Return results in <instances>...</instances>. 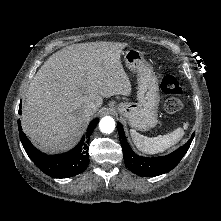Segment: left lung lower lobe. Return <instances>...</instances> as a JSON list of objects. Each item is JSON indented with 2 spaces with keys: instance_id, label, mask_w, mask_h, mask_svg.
Wrapping results in <instances>:
<instances>
[{
  "instance_id": "left-lung-lower-lobe-1",
  "label": "left lung lower lobe",
  "mask_w": 221,
  "mask_h": 221,
  "mask_svg": "<svg viewBox=\"0 0 221 221\" xmlns=\"http://www.w3.org/2000/svg\"><path fill=\"white\" fill-rule=\"evenodd\" d=\"M117 129L119 132L120 142L123 150V158L126 167L131 172L146 177L158 176L172 170L188 151L195 134H192L191 138L186 144L169 155L146 158L133 152L125 139L123 127L119 122L117 123Z\"/></svg>"
}]
</instances>
